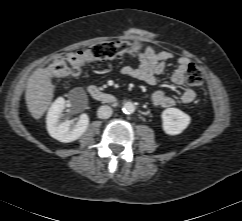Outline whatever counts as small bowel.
I'll use <instances>...</instances> for the list:
<instances>
[{
	"instance_id": "c3829d8e",
	"label": "small bowel",
	"mask_w": 242,
	"mask_h": 221,
	"mask_svg": "<svg viewBox=\"0 0 242 221\" xmlns=\"http://www.w3.org/2000/svg\"><path fill=\"white\" fill-rule=\"evenodd\" d=\"M133 35L142 36L140 33H133ZM134 56L138 58V66H124L121 68V74L141 80L149 85L156 84L158 76L164 71L165 62L173 58L171 52H156L150 45L146 47L144 52L134 54ZM176 63V67L171 75V81L174 85L182 87L185 85V72L189 64V59L179 57ZM195 98L196 93L192 89H186L181 95V102L191 104ZM152 102L155 106L162 108H169L176 104L175 99L162 90H157L153 93Z\"/></svg>"
}]
</instances>
